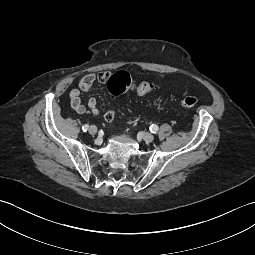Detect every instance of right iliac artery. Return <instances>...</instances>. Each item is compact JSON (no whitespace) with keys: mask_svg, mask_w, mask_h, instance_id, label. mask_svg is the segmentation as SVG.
Instances as JSON below:
<instances>
[{"mask_svg":"<svg viewBox=\"0 0 255 255\" xmlns=\"http://www.w3.org/2000/svg\"><path fill=\"white\" fill-rule=\"evenodd\" d=\"M88 129H89V125L88 124H85V125L82 126V130L84 132H86Z\"/></svg>","mask_w":255,"mask_h":255,"instance_id":"right-iliac-artery-1","label":"right iliac artery"}]
</instances>
